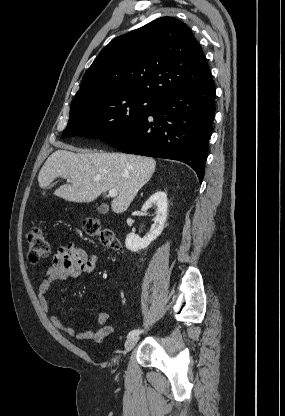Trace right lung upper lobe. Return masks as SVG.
Returning a JSON list of instances; mask_svg holds the SVG:
<instances>
[{"instance_id": "1", "label": "right lung upper lobe", "mask_w": 285, "mask_h": 416, "mask_svg": "<svg viewBox=\"0 0 285 416\" xmlns=\"http://www.w3.org/2000/svg\"><path fill=\"white\" fill-rule=\"evenodd\" d=\"M212 79L204 53L188 26L162 17L116 37L85 72L70 110L123 97L157 104Z\"/></svg>"}]
</instances>
